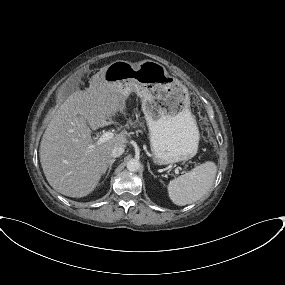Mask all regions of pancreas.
<instances>
[{
    "label": "pancreas",
    "mask_w": 285,
    "mask_h": 285,
    "mask_svg": "<svg viewBox=\"0 0 285 285\" xmlns=\"http://www.w3.org/2000/svg\"><path fill=\"white\" fill-rule=\"evenodd\" d=\"M129 126L135 128L137 126V124L135 122H128L127 127L129 128Z\"/></svg>",
    "instance_id": "cf45deb5"
}]
</instances>
